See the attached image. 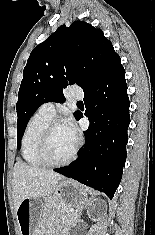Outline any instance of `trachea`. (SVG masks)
I'll return each instance as SVG.
<instances>
[{
  "label": "trachea",
  "instance_id": "obj_1",
  "mask_svg": "<svg viewBox=\"0 0 155 235\" xmlns=\"http://www.w3.org/2000/svg\"><path fill=\"white\" fill-rule=\"evenodd\" d=\"M77 103H78V104H81L82 102H81V101H78Z\"/></svg>",
  "mask_w": 155,
  "mask_h": 235
}]
</instances>
